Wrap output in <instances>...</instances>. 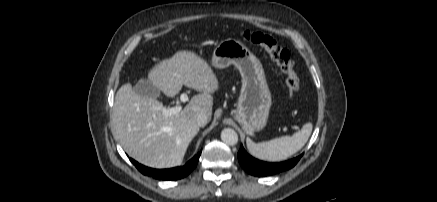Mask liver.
Segmentation results:
<instances>
[{
  "mask_svg": "<svg viewBox=\"0 0 437 202\" xmlns=\"http://www.w3.org/2000/svg\"><path fill=\"white\" fill-rule=\"evenodd\" d=\"M148 78L167 97H175L183 85L201 94L193 96L178 114L165 116L161 102L139 96L126 83L115 96L114 130L125 152L139 163L153 168L175 167L199 132L197 115L204 113L211 119V94L218 90L219 82L207 61L188 50L155 64Z\"/></svg>",
  "mask_w": 437,
  "mask_h": 202,
  "instance_id": "obj_1",
  "label": "liver"
}]
</instances>
